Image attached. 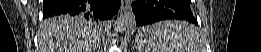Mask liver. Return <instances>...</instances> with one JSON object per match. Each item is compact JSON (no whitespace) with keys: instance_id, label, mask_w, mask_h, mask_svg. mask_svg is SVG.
<instances>
[{"instance_id":"liver-1","label":"liver","mask_w":261,"mask_h":52,"mask_svg":"<svg viewBox=\"0 0 261 52\" xmlns=\"http://www.w3.org/2000/svg\"><path fill=\"white\" fill-rule=\"evenodd\" d=\"M65 16H55L42 22L38 33V52H95L99 46L96 28L85 21L61 20Z\"/></svg>"}]
</instances>
